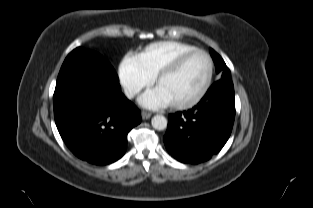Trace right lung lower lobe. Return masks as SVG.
<instances>
[{
    "mask_svg": "<svg viewBox=\"0 0 313 208\" xmlns=\"http://www.w3.org/2000/svg\"><path fill=\"white\" fill-rule=\"evenodd\" d=\"M58 131L80 159L106 165L121 158L140 111L122 93L118 76L100 54L78 48L65 59L53 97Z\"/></svg>",
    "mask_w": 313,
    "mask_h": 208,
    "instance_id": "1",
    "label": "right lung lower lobe"
}]
</instances>
